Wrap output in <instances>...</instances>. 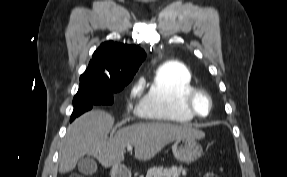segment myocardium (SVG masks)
<instances>
[{
    "instance_id": "1",
    "label": "myocardium",
    "mask_w": 287,
    "mask_h": 177,
    "mask_svg": "<svg viewBox=\"0 0 287 177\" xmlns=\"http://www.w3.org/2000/svg\"><path fill=\"white\" fill-rule=\"evenodd\" d=\"M199 96L205 97L208 102V110L206 114H201L196 108V99ZM184 106L193 116L204 118L207 117L212 112L213 100L210 93L205 89L194 88L185 96Z\"/></svg>"
}]
</instances>
